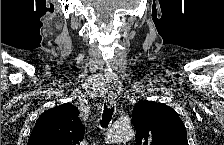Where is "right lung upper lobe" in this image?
I'll list each match as a JSON object with an SVG mask.
<instances>
[{
    "label": "right lung upper lobe",
    "instance_id": "right-lung-upper-lobe-1",
    "mask_svg": "<svg viewBox=\"0 0 224 145\" xmlns=\"http://www.w3.org/2000/svg\"><path fill=\"white\" fill-rule=\"evenodd\" d=\"M78 109L65 103L39 116L28 145H76L84 138L85 128Z\"/></svg>",
    "mask_w": 224,
    "mask_h": 145
}]
</instances>
